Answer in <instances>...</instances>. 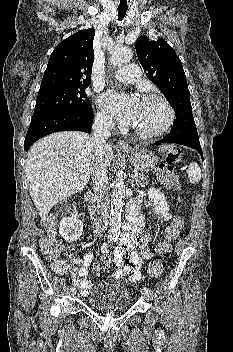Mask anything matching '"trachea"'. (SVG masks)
I'll use <instances>...</instances> for the list:
<instances>
[{
	"label": "trachea",
	"mask_w": 233,
	"mask_h": 352,
	"mask_svg": "<svg viewBox=\"0 0 233 352\" xmlns=\"http://www.w3.org/2000/svg\"><path fill=\"white\" fill-rule=\"evenodd\" d=\"M127 9L128 8H121V7H118V20L119 21H121L123 18H124V16H125V14H126V12H127Z\"/></svg>",
	"instance_id": "obj_1"
}]
</instances>
